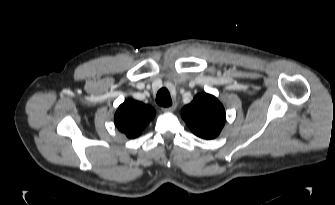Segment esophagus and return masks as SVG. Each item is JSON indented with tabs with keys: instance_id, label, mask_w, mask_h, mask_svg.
I'll use <instances>...</instances> for the list:
<instances>
[{
	"instance_id": "34e87169",
	"label": "esophagus",
	"mask_w": 335,
	"mask_h": 205,
	"mask_svg": "<svg viewBox=\"0 0 335 205\" xmlns=\"http://www.w3.org/2000/svg\"><path fill=\"white\" fill-rule=\"evenodd\" d=\"M175 106L174 105H172V106H169V107H163L162 108V111L163 112H173L174 110H175Z\"/></svg>"
}]
</instances>
